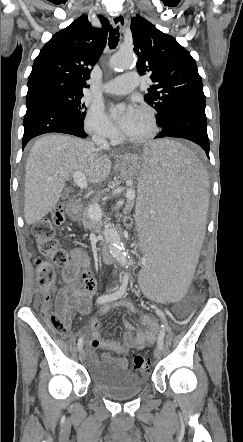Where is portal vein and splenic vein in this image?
<instances>
[{"label":"portal vein and splenic vein","mask_w":243,"mask_h":442,"mask_svg":"<svg viewBox=\"0 0 243 442\" xmlns=\"http://www.w3.org/2000/svg\"><path fill=\"white\" fill-rule=\"evenodd\" d=\"M73 178H74V182L76 183V185L79 186L80 188L87 187V180H86L85 174L83 172L74 171ZM126 197L129 200H133L135 198V190L128 189L126 192ZM88 214H89V217L95 221L100 220L102 217L101 209H100L99 205H97V204H93L89 207Z\"/></svg>","instance_id":"portal-vein-and-splenic-vein-1"}]
</instances>
